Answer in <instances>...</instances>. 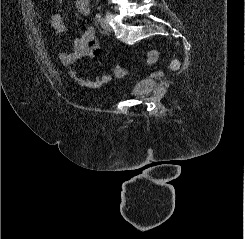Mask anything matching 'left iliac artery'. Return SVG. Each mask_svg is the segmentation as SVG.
Returning <instances> with one entry per match:
<instances>
[{
	"label": "left iliac artery",
	"instance_id": "1",
	"mask_svg": "<svg viewBox=\"0 0 245 239\" xmlns=\"http://www.w3.org/2000/svg\"><path fill=\"white\" fill-rule=\"evenodd\" d=\"M95 18H96V20H97L98 22H101V20H102V17H101V15H100V13H96Z\"/></svg>",
	"mask_w": 245,
	"mask_h": 239
}]
</instances>
